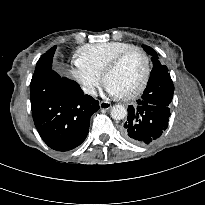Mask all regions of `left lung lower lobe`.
Returning <instances> with one entry per match:
<instances>
[{"label":"left lung lower lobe","mask_w":205,"mask_h":205,"mask_svg":"<svg viewBox=\"0 0 205 205\" xmlns=\"http://www.w3.org/2000/svg\"><path fill=\"white\" fill-rule=\"evenodd\" d=\"M170 107L151 99H139L128 107L122 135L130 142L148 145L156 141L168 127Z\"/></svg>","instance_id":"obj_1"}]
</instances>
